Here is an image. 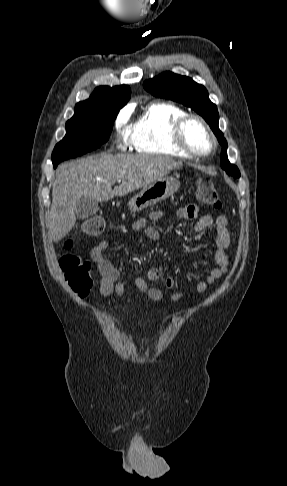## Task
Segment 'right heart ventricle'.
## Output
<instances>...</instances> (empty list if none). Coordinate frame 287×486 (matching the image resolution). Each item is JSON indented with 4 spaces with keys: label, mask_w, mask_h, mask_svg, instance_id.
<instances>
[{
    "label": "right heart ventricle",
    "mask_w": 287,
    "mask_h": 486,
    "mask_svg": "<svg viewBox=\"0 0 287 486\" xmlns=\"http://www.w3.org/2000/svg\"><path fill=\"white\" fill-rule=\"evenodd\" d=\"M185 114L172 103H151L127 129V141L137 153L188 158L173 142L174 125Z\"/></svg>",
    "instance_id": "right-heart-ventricle-1"
}]
</instances>
